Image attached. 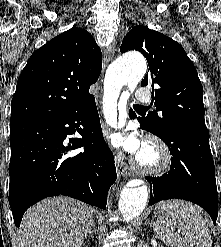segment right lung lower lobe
Masks as SVG:
<instances>
[{"mask_svg": "<svg viewBox=\"0 0 221 247\" xmlns=\"http://www.w3.org/2000/svg\"><path fill=\"white\" fill-rule=\"evenodd\" d=\"M76 131L82 138H66ZM10 146L9 204L16 227L30 206L49 196H70L106 208L117 175L94 97L61 117L10 124ZM82 146L83 152H72Z\"/></svg>", "mask_w": 221, "mask_h": 247, "instance_id": "1", "label": "right lung lower lobe"}]
</instances>
